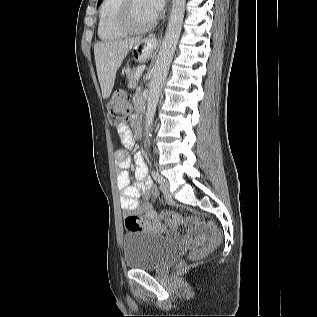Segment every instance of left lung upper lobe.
Instances as JSON below:
<instances>
[{
	"label": "left lung upper lobe",
	"instance_id": "obj_1",
	"mask_svg": "<svg viewBox=\"0 0 317 317\" xmlns=\"http://www.w3.org/2000/svg\"><path fill=\"white\" fill-rule=\"evenodd\" d=\"M101 2H102V0H99L97 5H100V4H101Z\"/></svg>",
	"mask_w": 317,
	"mask_h": 317
}]
</instances>
